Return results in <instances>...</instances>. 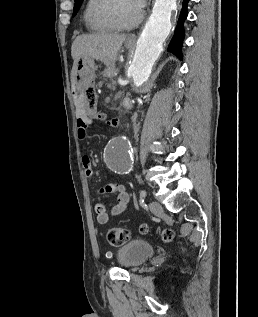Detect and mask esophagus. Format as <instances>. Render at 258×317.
Listing matches in <instances>:
<instances>
[{
    "label": "esophagus",
    "instance_id": "34e87169",
    "mask_svg": "<svg viewBox=\"0 0 258 317\" xmlns=\"http://www.w3.org/2000/svg\"><path fill=\"white\" fill-rule=\"evenodd\" d=\"M128 39H130V40L136 39V34L132 33V34L128 35Z\"/></svg>",
    "mask_w": 258,
    "mask_h": 317
}]
</instances>
